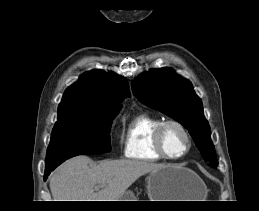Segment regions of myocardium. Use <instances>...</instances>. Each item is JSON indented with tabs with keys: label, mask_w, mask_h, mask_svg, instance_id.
<instances>
[{
	"label": "myocardium",
	"mask_w": 259,
	"mask_h": 211,
	"mask_svg": "<svg viewBox=\"0 0 259 211\" xmlns=\"http://www.w3.org/2000/svg\"><path fill=\"white\" fill-rule=\"evenodd\" d=\"M168 126L177 127L186 138V142H187L186 148L181 154H179L177 156L169 155L165 149V145H164V141H163V134H164L165 129ZM154 146H155L156 150L158 151V153L164 157V159L179 160V159H182L183 157H185L191 150L192 136H191L190 132L188 131V129L181 122L174 120V119L164 120L157 126V128L155 130Z\"/></svg>",
	"instance_id": "1"
}]
</instances>
